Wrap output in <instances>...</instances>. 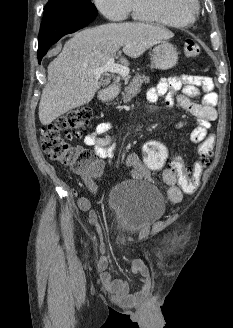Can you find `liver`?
<instances>
[{
    "label": "liver",
    "mask_w": 233,
    "mask_h": 328,
    "mask_svg": "<svg viewBox=\"0 0 233 328\" xmlns=\"http://www.w3.org/2000/svg\"><path fill=\"white\" fill-rule=\"evenodd\" d=\"M173 36L164 27L140 22L108 23L76 33L48 66V81L39 103L40 122L48 125L69 110L89 103L102 84L93 69L114 58L121 47L127 56L138 58ZM120 61L124 66L129 64L125 58Z\"/></svg>",
    "instance_id": "6515ba94"
}]
</instances>
